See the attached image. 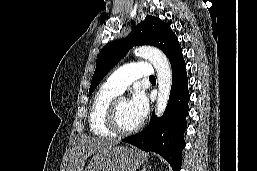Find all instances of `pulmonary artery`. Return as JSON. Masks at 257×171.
<instances>
[{
  "label": "pulmonary artery",
  "mask_w": 257,
  "mask_h": 171,
  "mask_svg": "<svg viewBox=\"0 0 257 171\" xmlns=\"http://www.w3.org/2000/svg\"><path fill=\"white\" fill-rule=\"evenodd\" d=\"M154 75L153 67L148 62L128 63L114 71L107 79L106 85L122 93L132 82L141 77Z\"/></svg>",
  "instance_id": "obj_1"
}]
</instances>
